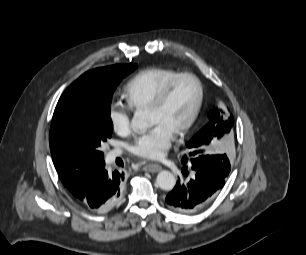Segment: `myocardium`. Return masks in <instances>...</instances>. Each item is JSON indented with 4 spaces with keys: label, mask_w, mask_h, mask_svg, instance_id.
<instances>
[{
    "label": "myocardium",
    "mask_w": 306,
    "mask_h": 255,
    "mask_svg": "<svg viewBox=\"0 0 306 255\" xmlns=\"http://www.w3.org/2000/svg\"><path fill=\"white\" fill-rule=\"evenodd\" d=\"M185 77L191 78L196 82L198 86L199 94H198L197 103L195 105L193 113L191 114L189 119L179 129H177L173 133L175 137L183 136L196 123L201 113L203 103H204V98H205V89H204V85L202 81L200 80V78L191 72L178 73L165 84V86L158 92V94L155 96V98L153 99V101L150 103V105L147 108L149 111L157 110L161 108L163 104L165 103V101L167 100L174 85L180 79L185 78Z\"/></svg>",
    "instance_id": "1"
}]
</instances>
